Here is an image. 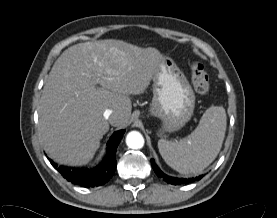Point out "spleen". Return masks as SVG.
Returning <instances> with one entry per match:
<instances>
[{"mask_svg":"<svg viewBox=\"0 0 277 218\" xmlns=\"http://www.w3.org/2000/svg\"><path fill=\"white\" fill-rule=\"evenodd\" d=\"M226 112L222 106H211L198 126L180 141H158L159 152L171 168L181 174L201 173L217 157L226 131Z\"/></svg>","mask_w":277,"mask_h":218,"instance_id":"1","label":"spleen"}]
</instances>
